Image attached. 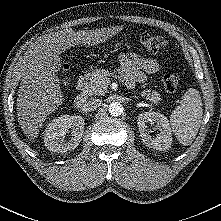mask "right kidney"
Segmentation results:
<instances>
[{"instance_id":"right-kidney-1","label":"right kidney","mask_w":221,"mask_h":221,"mask_svg":"<svg viewBox=\"0 0 221 221\" xmlns=\"http://www.w3.org/2000/svg\"><path fill=\"white\" fill-rule=\"evenodd\" d=\"M72 128L71 137L65 140V135ZM84 129V119L81 116L61 115L53 119L44 132V142L48 150L64 153L74 150L80 143Z\"/></svg>"}]
</instances>
